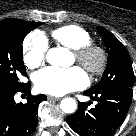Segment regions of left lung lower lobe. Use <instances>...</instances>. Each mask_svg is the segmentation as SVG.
Here are the masks:
<instances>
[{
  "label": "left lung lower lobe",
  "mask_w": 136,
  "mask_h": 136,
  "mask_svg": "<svg viewBox=\"0 0 136 136\" xmlns=\"http://www.w3.org/2000/svg\"><path fill=\"white\" fill-rule=\"evenodd\" d=\"M84 94L97 101V105L88 109L86 103H80L78 110L67 117L69 126L81 136H113L128 111L132 88L89 89Z\"/></svg>",
  "instance_id": "0a47b994"
}]
</instances>
